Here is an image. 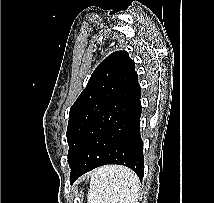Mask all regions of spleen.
Instances as JSON below:
<instances>
[{
    "mask_svg": "<svg viewBox=\"0 0 214 203\" xmlns=\"http://www.w3.org/2000/svg\"><path fill=\"white\" fill-rule=\"evenodd\" d=\"M140 182L123 166H104L92 173L88 203H137Z\"/></svg>",
    "mask_w": 214,
    "mask_h": 203,
    "instance_id": "1",
    "label": "spleen"
}]
</instances>
